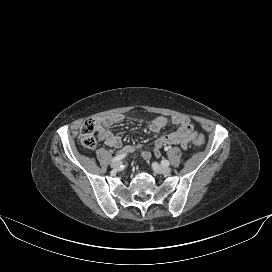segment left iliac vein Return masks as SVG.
<instances>
[{
	"mask_svg": "<svg viewBox=\"0 0 272 272\" xmlns=\"http://www.w3.org/2000/svg\"><path fill=\"white\" fill-rule=\"evenodd\" d=\"M153 170L158 174L168 175L171 172V168L168 166L160 165L158 163L152 164Z\"/></svg>",
	"mask_w": 272,
	"mask_h": 272,
	"instance_id": "obj_1",
	"label": "left iliac vein"
}]
</instances>
